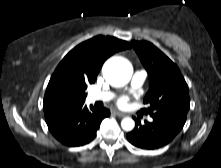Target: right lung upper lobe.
Listing matches in <instances>:
<instances>
[{"instance_id": "right-lung-upper-lobe-1", "label": "right lung upper lobe", "mask_w": 221, "mask_h": 168, "mask_svg": "<svg viewBox=\"0 0 221 168\" xmlns=\"http://www.w3.org/2000/svg\"><path fill=\"white\" fill-rule=\"evenodd\" d=\"M127 48L128 42L110 36H96L73 48L50 78L44 109L83 103L87 85L95 82L105 60Z\"/></svg>"}]
</instances>
